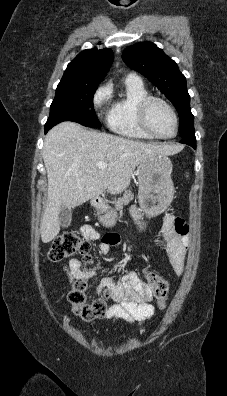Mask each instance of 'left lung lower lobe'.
I'll list each match as a JSON object with an SVG mask.
<instances>
[{
    "instance_id": "1",
    "label": "left lung lower lobe",
    "mask_w": 227,
    "mask_h": 396,
    "mask_svg": "<svg viewBox=\"0 0 227 396\" xmlns=\"http://www.w3.org/2000/svg\"><path fill=\"white\" fill-rule=\"evenodd\" d=\"M180 142L190 145L191 147H193L195 149L196 148L195 133L186 135L185 137H182V140Z\"/></svg>"
}]
</instances>
